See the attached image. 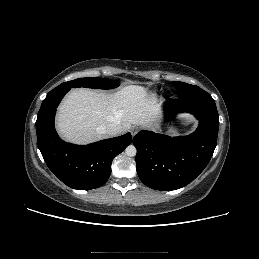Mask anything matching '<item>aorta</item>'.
I'll use <instances>...</instances> for the list:
<instances>
[{"mask_svg": "<svg viewBox=\"0 0 259 259\" xmlns=\"http://www.w3.org/2000/svg\"><path fill=\"white\" fill-rule=\"evenodd\" d=\"M137 153L136 147L134 145H129L126 149H125V154L129 157H133L135 156Z\"/></svg>", "mask_w": 259, "mask_h": 259, "instance_id": "762f6f07", "label": "aorta"}]
</instances>
